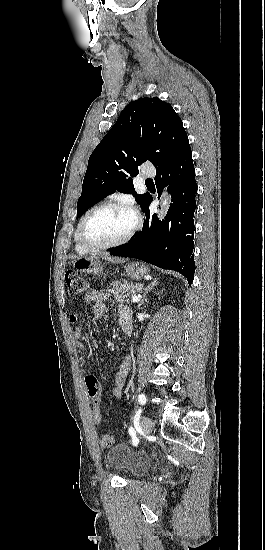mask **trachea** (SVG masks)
<instances>
[{"mask_svg": "<svg viewBox=\"0 0 265 550\" xmlns=\"http://www.w3.org/2000/svg\"><path fill=\"white\" fill-rule=\"evenodd\" d=\"M149 183H153V181L151 179H147L146 184H149Z\"/></svg>", "mask_w": 265, "mask_h": 550, "instance_id": "1", "label": "trachea"}]
</instances>
